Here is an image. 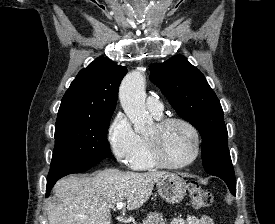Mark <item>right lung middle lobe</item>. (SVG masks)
Returning <instances> with one entry per match:
<instances>
[{"instance_id": "obj_1", "label": "right lung middle lobe", "mask_w": 275, "mask_h": 224, "mask_svg": "<svg viewBox=\"0 0 275 224\" xmlns=\"http://www.w3.org/2000/svg\"><path fill=\"white\" fill-rule=\"evenodd\" d=\"M110 119L111 116L57 120L55 147L47 179L110 157L107 141Z\"/></svg>"}]
</instances>
